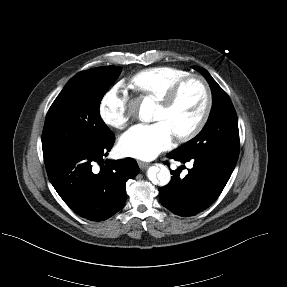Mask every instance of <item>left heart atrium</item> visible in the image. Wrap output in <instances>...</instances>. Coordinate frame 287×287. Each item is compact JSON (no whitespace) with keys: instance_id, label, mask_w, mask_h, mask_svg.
<instances>
[{"instance_id":"39dd6f15","label":"left heart atrium","mask_w":287,"mask_h":287,"mask_svg":"<svg viewBox=\"0 0 287 287\" xmlns=\"http://www.w3.org/2000/svg\"><path fill=\"white\" fill-rule=\"evenodd\" d=\"M172 138L171 130L162 121L137 124L121 136L119 147L126 156L151 160L171 146Z\"/></svg>"}]
</instances>
